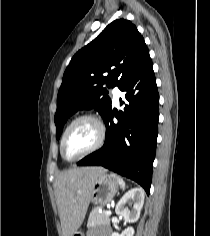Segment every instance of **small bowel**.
Segmentation results:
<instances>
[{
    "mask_svg": "<svg viewBox=\"0 0 210 236\" xmlns=\"http://www.w3.org/2000/svg\"><path fill=\"white\" fill-rule=\"evenodd\" d=\"M88 236H111L109 230H105L102 232H90Z\"/></svg>",
    "mask_w": 210,
    "mask_h": 236,
    "instance_id": "obj_1",
    "label": "small bowel"
}]
</instances>
